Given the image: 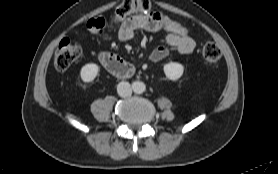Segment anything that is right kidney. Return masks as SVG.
<instances>
[{
  "instance_id": "obj_1",
  "label": "right kidney",
  "mask_w": 278,
  "mask_h": 174,
  "mask_svg": "<svg viewBox=\"0 0 278 174\" xmlns=\"http://www.w3.org/2000/svg\"><path fill=\"white\" fill-rule=\"evenodd\" d=\"M98 71L99 67L97 64L88 63L81 68L80 77L84 83H89L96 78Z\"/></svg>"
}]
</instances>
